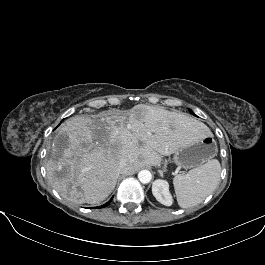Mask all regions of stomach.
Returning a JSON list of instances; mask_svg holds the SVG:
<instances>
[{"label": "stomach", "mask_w": 265, "mask_h": 265, "mask_svg": "<svg viewBox=\"0 0 265 265\" xmlns=\"http://www.w3.org/2000/svg\"><path fill=\"white\" fill-rule=\"evenodd\" d=\"M216 143L210 135L186 140L181 147L174 152V162L182 168L199 167L213 158L216 154Z\"/></svg>", "instance_id": "obj_1"}]
</instances>
